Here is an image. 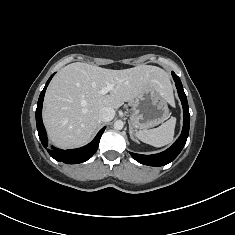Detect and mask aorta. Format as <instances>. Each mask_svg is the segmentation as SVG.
<instances>
[{"instance_id": "obj_1", "label": "aorta", "mask_w": 235, "mask_h": 235, "mask_svg": "<svg viewBox=\"0 0 235 235\" xmlns=\"http://www.w3.org/2000/svg\"><path fill=\"white\" fill-rule=\"evenodd\" d=\"M123 126H124V123L121 120H117L114 123V129H116V130H121L123 128Z\"/></svg>"}]
</instances>
